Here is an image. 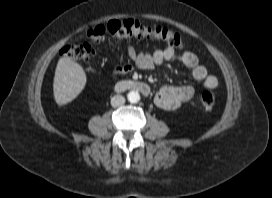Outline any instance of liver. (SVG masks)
Returning a JSON list of instances; mask_svg holds the SVG:
<instances>
[{"mask_svg":"<svg viewBox=\"0 0 272 198\" xmlns=\"http://www.w3.org/2000/svg\"><path fill=\"white\" fill-rule=\"evenodd\" d=\"M86 74L77 62L70 57H62L55 70L53 93L58 105L74 100L84 89Z\"/></svg>","mask_w":272,"mask_h":198,"instance_id":"liver-1","label":"liver"}]
</instances>
